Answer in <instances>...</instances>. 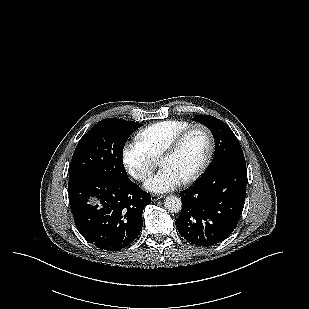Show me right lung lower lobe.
<instances>
[{
  "label": "right lung lower lobe",
  "mask_w": 309,
  "mask_h": 309,
  "mask_svg": "<svg viewBox=\"0 0 309 309\" xmlns=\"http://www.w3.org/2000/svg\"><path fill=\"white\" fill-rule=\"evenodd\" d=\"M69 200L76 227L97 248L117 251L139 235L142 212L150 195L131 180L119 182L98 174L69 181Z\"/></svg>",
  "instance_id": "1"
}]
</instances>
